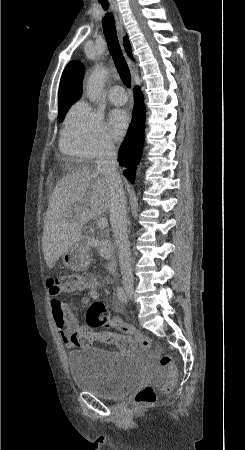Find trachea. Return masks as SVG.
<instances>
[{
	"mask_svg": "<svg viewBox=\"0 0 245 450\" xmlns=\"http://www.w3.org/2000/svg\"><path fill=\"white\" fill-rule=\"evenodd\" d=\"M98 2L101 4L102 8L104 10H107L109 8V4L107 1L98 0ZM103 32L104 36L109 48V51L111 53V56L113 58V61L116 65V68L119 72V75L123 81V83L130 88L131 87V75L128 68V65L126 63V60L122 54L117 32H116V26L114 18L111 14H107L106 17L103 18Z\"/></svg>",
	"mask_w": 245,
	"mask_h": 450,
	"instance_id": "obj_1",
	"label": "trachea"
}]
</instances>
